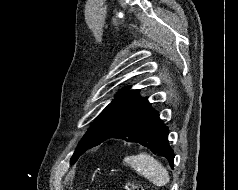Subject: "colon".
Here are the masks:
<instances>
[{
  "mask_svg": "<svg viewBox=\"0 0 238 190\" xmlns=\"http://www.w3.org/2000/svg\"><path fill=\"white\" fill-rule=\"evenodd\" d=\"M124 190H144L140 184L135 181H128L124 185Z\"/></svg>",
  "mask_w": 238,
  "mask_h": 190,
  "instance_id": "5ec220e1",
  "label": "colon"
}]
</instances>
